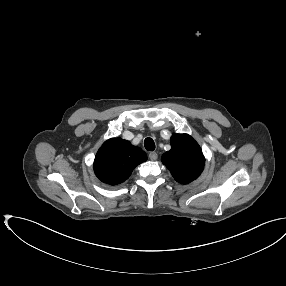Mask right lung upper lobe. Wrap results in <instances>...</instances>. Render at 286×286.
<instances>
[{"mask_svg":"<svg viewBox=\"0 0 286 286\" xmlns=\"http://www.w3.org/2000/svg\"><path fill=\"white\" fill-rule=\"evenodd\" d=\"M146 160V153L139 147L121 138H111L98 150L94 171L102 182L117 185L128 179L134 168Z\"/></svg>","mask_w":286,"mask_h":286,"instance_id":"obj_1","label":"right lung upper lobe"}]
</instances>
